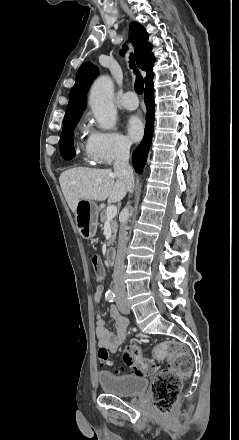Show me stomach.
<instances>
[{"label": "stomach", "instance_id": "1", "mask_svg": "<svg viewBox=\"0 0 239 440\" xmlns=\"http://www.w3.org/2000/svg\"><path fill=\"white\" fill-rule=\"evenodd\" d=\"M99 208L93 200H80L75 212L76 228L84 238L91 240L97 232Z\"/></svg>", "mask_w": 239, "mask_h": 440}]
</instances>
